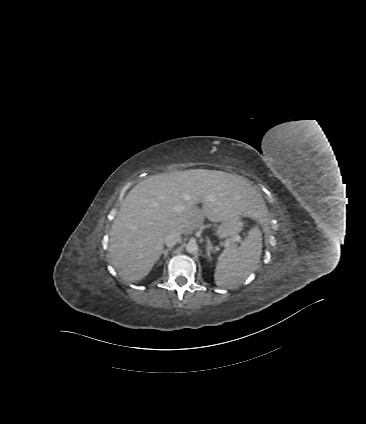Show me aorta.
<instances>
[{"instance_id": "obj_1", "label": "aorta", "mask_w": 366, "mask_h": 424, "mask_svg": "<svg viewBox=\"0 0 366 424\" xmlns=\"http://www.w3.org/2000/svg\"><path fill=\"white\" fill-rule=\"evenodd\" d=\"M186 251L190 254H196L198 252V245L195 241H190L186 245Z\"/></svg>"}]
</instances>
